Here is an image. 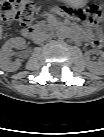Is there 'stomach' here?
<instances>
[{
    "mask_svg": "<svg viewBox=\"0 0 104 137\" xmlns=\"http://www.w3.org/2000/svg\"><path fill=\"white\" fill-rule=\"evenodd\" d=\"M66 3H70V4H78L79 0H64Z\"/></svg>",
    "mask_w": 104,
    "mask_h": 137,
    "instance_id": "1",
    "label": "stomach"
}]
</instances>
